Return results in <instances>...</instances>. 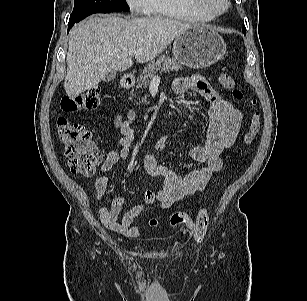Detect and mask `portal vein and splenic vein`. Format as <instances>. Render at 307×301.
Masks as SVG:
<instances>
[{
	"instance_id": "obj_1",
	"label": "portal vein and splenic vein",
	"mask_w": 307,
	"mask_h": 301,
	"mask_svg": "<svg viewBox=\"0 0 307 301\" xmlns=\"http://www.w3.org/2000/svg\"><path fill=\"white\" fill-rule=\"evenodd\" d=\"M135 54H136V50H132V51L129 52V55H131V56H133ZM153 79L154 80H159L160 77L158 75H155V76H153Z\"/></svg>"
}]
</instances>
